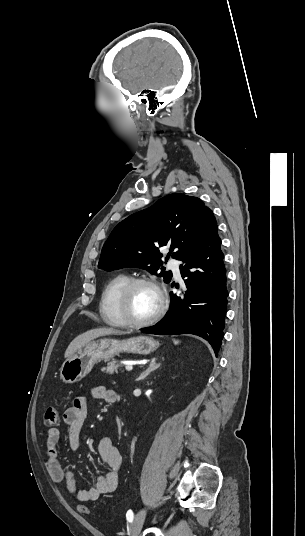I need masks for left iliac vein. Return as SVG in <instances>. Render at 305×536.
I'll list each match as a JSON object with an SVG mask.
<instances>
[{
	"mask_svg": "<svg viewBox=\"0 0 305 536\" xmlns=\"http://www.w3.org/2000/svg\"><path fill=\"white\" fill-rule=\"evenodd\" d=\"M146 517V510L145 509H142L140 510L134 517L131 525H130V531H129V536H139L140 532H141V529H142V526H143V523H144V519Z\"/></svg>",
	"mask_w": 305,
	"mask_h": 536,
	"instance_id": "obj_1",
	"label": "left iliac vein"
}]
</instances>
